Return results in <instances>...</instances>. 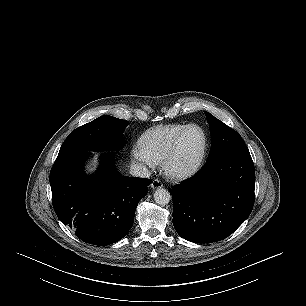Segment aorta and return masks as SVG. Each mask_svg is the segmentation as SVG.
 Instances as JSON below:
<instances>
[{
    "mask_svg": "<svg viewBox=\"0 0 306 306\" xmlns=\"http://www.w3.org/2000/svg\"><path fill=\"white\" fill-rule=\"evenodd\" d=\"M171 195L168 190L163 188H158L154 192V201L159 205H166L169 203Z\"/></svg>",
    "mask_w": 306,
    "mask_h": 306,
    "instance_id": "1",
    "label": "aorta"
}]
</instances>
